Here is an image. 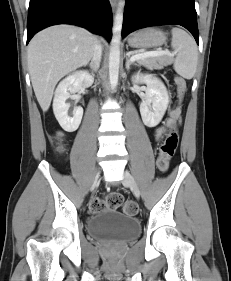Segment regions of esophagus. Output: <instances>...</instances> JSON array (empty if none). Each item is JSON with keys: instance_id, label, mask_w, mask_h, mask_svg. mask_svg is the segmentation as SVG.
I'll use <instances>...</instances> for the list:
<instances>
[{"instance_id": "obj_1", "label": "esophagus", "mask_w": 231, "mask_h": 281, "mask_svg": "<svg viewBox=\"0 0 231 281\" xmlns=\"http://www.w3.org/2000/svg\"><path fill=\"white\" fill-rule=\"evenodd\" d=\"M117 3H118V0H110V4H111V7H112L113 11L116 10Z\"/></svg>"}]
</instances>
